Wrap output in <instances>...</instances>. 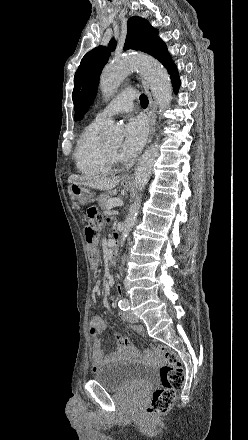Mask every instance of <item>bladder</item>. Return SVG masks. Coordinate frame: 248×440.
<instances>
[{"label":"bladder","mask_w":248,"mask_h":440,"mask_svg":"<svg viewBox=\"0 0 248 440\" xmlns=\"http://www.w3.org/2000/svg\"><path fill=\"white\" fill-rule=\"evenodd\" d=\"M154 376L151 367L130 361H117L104 365L93 374L94 380L109 390L138 392L148 390Z\"/></svg>","instance_id":"bladder-1"}]
</instances>
